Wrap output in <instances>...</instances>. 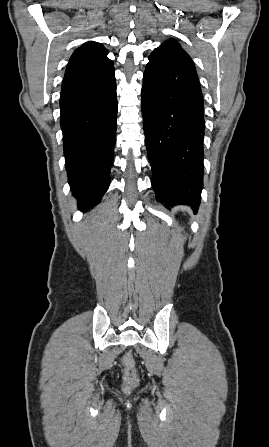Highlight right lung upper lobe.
I'll return each instance as SVG.
<instances>
[{"label": "right lung upper lobe", "instance_id": "cb5924a9", "mask_svg": "<svg viewBox=\"0 0 269 447\" xmlns=\"http://www.w3.org/2000/svg\"><path fill=\"white\" fill-rule=\"evenodd\" d=\"M107 50L100 43L89 41L76 49L70 58L65 76L112 64Z\"/></svg>", "mask_w": 269, "mask_h": 447}]
</instances>
